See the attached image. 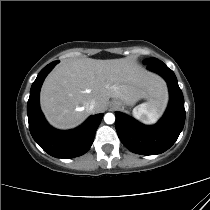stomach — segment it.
<instances>
[{"label": "stomach", "mask_w": 210, "mask_h": 210, "mask_svg": "<svg viewBox=\"0 0 210 210\" xmlns=\"http://www.w3.org/2000/svg\"><path fill=\"white\" fill-rule=\"evenodd\" d=\"M113 103H117L120 107H123V105L125 104L123 101L120 100H113Z\"/></svg>", "instance_id": "0dacf381"}]
</instances>
